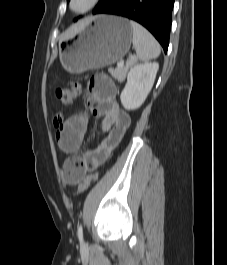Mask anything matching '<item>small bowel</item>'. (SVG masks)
<instances>
[{
    "label": "small bowel",
    "instance_id": "obj_1",
    "mask_svg": "<svg viewBox=\"0 0 227 265\" xmlns=\"http://www.w3.org/2000/svg\"><path fill=\"white\" fill-rule=\"evenodd\" d=\"M87 104L94 116L102 118V130L106 134L102 142L94 149L79 156L81 164L72 172L68 184H77L87 171L104 164L112 151L119 145L131 124V117L121 110L116 102V87L106 74H97L88 82ZM88 115L79 113L69 117L56 132V141L66 154H77L84 141L88 127Z\"/></svg>",
    "mask_w": 227,
    "mask_h": 265
}]
</instances>
